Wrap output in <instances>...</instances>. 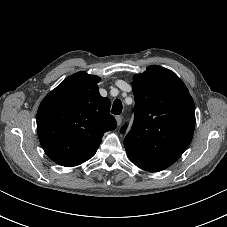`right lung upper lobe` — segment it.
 I'll list each match as a JSON object with an SVG mask.
<instances>
[{
  "instance_id": "obj_1",
  "label": "right lung upper lobe",
  "mask_w": 227,
  "mask_h": 227,
  "mask_svg": "<svg viewBox=\"0 0 227 227\" xmlns=\"http://www.w3.org/2000/svg\"><path fill=\"white\" fill-rule=\"evenodd\" d=\"M100 78L84 72L66 78L37 112L40 143L55 163L73 167L96 153L103 134L117 127L110 100L99 94Z\"/></svg>"
}]
</instances>
